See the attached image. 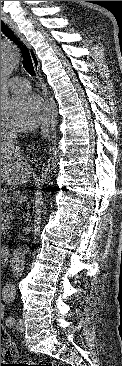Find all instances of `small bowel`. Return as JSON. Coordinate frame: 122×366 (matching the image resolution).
<instances>
[{
  "mask_svg": "<svg viewBox=\"0 0 122 366\" xmlns=\"http://www.w3.org/2000/svg\"><path fill=\"white\" fill-rule=\"evenodd\" d=\"M3 316V305L1 304V318Z\"/></svg>",
  "mask_w": 122,
  "mask_h": 366,
  "instance_id": "1",
  "label": "small bowel"
}]
</instances>
